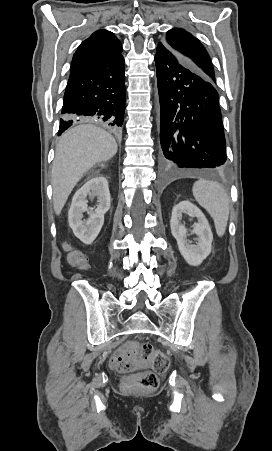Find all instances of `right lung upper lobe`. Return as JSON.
<instances>
[{"label":"right lung upper lobe","instance_id":"obj_1","mask_svg":"<svg viewBox=\"0 0 272 451\" xmlns=\"http://www.w3.org/2000/svg\"><path fill=\"white\" fill-rule=\"evenodd\" d=\"M122 52V44L110 31L98 30L83 41L75 52L71 71L115 58Z\"/></svg>","mask_w":272,"mask_h":451}]
</instances>
